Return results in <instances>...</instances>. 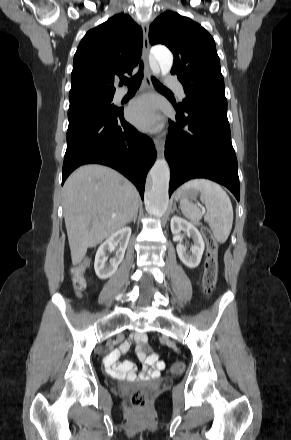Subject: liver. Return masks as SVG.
Instances as JSON below:
<instances>
[{"mask_svg":"<svg viewBox=\"0 0 291 440\" xmlns=\"http://www.w3.org/2000/svg\"><path fill=\"white\" fill-rule=\"evenodd\" d=\"M136 187L117 171L97 164L76 169L63 186V208L72 264L87 249L122 229L138 213Z\"/></svg>","mask_w":291,"mask_h":440,"instance_id":"liver-1","label":"liver"}]
</instances>
